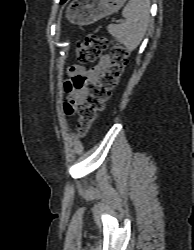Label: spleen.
<instances>
[{
    "mask_svg": "<svg viewBox=\"0 0 194 250\" xmlns=\"http://www.w3.org/2000/svg\"><path fill=\"white\" fill-rule=\"evenodd\" d=\"M150 0H129L122 15L125 22L109 25L108 32L128 50H134L142 41L150 20Z\"/></svg>",
    "mask_w": 194,
    "mask_h": 250,
    "instance_id": "3e777b00",
    "label": "spleen"
}]
</instances>
